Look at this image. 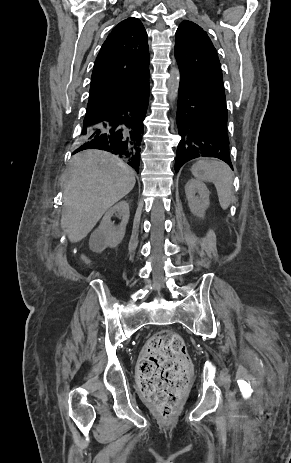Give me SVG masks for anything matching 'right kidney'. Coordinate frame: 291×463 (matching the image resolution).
<instances>
[{"mask_svg":"<svg viewBox=\"0 0 291 463\" xmlns=\"http://www.w3.org/2000/svg\"><path fill=\"white\" fill-rule=\"evenodd\" d=\"M118 213L121 222L115 226L111 221L114 214ZM129 220V204L121 201L110 208L102 218L99 227L91 234L89 246L95 252H102L107 247L118 246L124 238L126 225Z\"/></svg>","mask_w":291,"mask_h":463,"instance_id":"1","label":"right kidney"}]
</instances>
